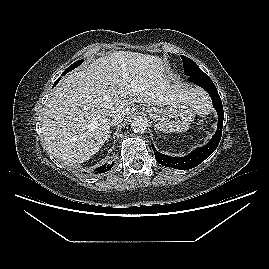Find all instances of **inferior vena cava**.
<instances>
[{
    "label": "inferior vena cava",
    "mask_w": 269,
    "mask_h": 269,
    "mask_svg": "<svg viewBox=\"0 0 269 269\" xmlns=\"http://www.w3.org/2000/svg\"><path fill=\"white\" fill-rule=\"evenodd\" d=\"M124 118V112L122 110L112 111L107 118L110 126L118 125Z\"/></svg>",
    "instance_id": "602c4592"
}]
</instances>
